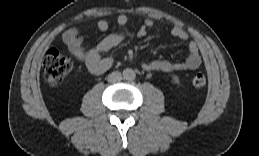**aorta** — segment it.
Listing matches in <instances>:
<instances>
[{
    "instance_id": "obj_1",
    "label": "aorta",
    "mask_w": 259,
    "mask_h": 156,
    "mask_svg": "<svg viewBox=\"0 0 259 156\" xmlns=\"http://www.w3.org/2000/svg\"><path fill=\"white\" fill-rule=\"evenodd\" d=\"M123 77L126 80H133L135 78V72L131 68L123 70Z\"/></svg>"
}]
</instances>
